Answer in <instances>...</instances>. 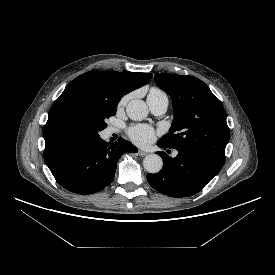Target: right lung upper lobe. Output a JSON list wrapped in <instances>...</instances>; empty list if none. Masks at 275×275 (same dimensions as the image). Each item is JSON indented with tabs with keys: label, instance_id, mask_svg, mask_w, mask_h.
<instances>
[{
	"label": "right lung upper lobe",
	"instance_id": "obj_1",
	"mask_svg": "<svg viewBox=\"0 0 275 275\" xmlns=\"http://www.w3.org/2000/svg\"><path fill=\"white\" fill-rule=\"evenodd\" d=\"M151 73L90 71L72 80L50 109L48 121L44 128L45 141L62 137L56 130L55 120L64 106L85 97H94L119 102L130 91L147 84Z\"/></svg>",
	"mask_w": 275,
	"mask_h": 275
}]
</instances>
